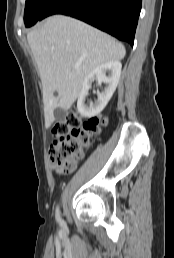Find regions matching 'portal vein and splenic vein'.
I'll return each mask as SVG.
<instances>
[{
  "label": "portal vein and splenic vein",
  "mask_w": 174,
  "mask_h": 258,
  "mask_svg": "<svg viewBox=\"0 0 174 258\" xmlns=\"http://www.w3.org/2000/svg\"><path fill=\"white\" fill-rule=\"evenodd\" d=\"M79 67V65H74V68L77 69Z\"/></svg>",
  "instance_id": "obj_1"
}]
</instances>
